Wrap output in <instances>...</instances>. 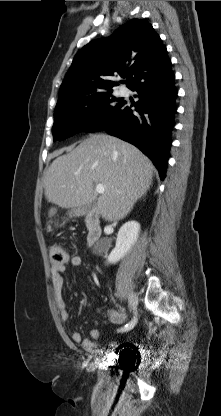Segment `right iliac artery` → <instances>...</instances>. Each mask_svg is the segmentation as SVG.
Returning <instances> with one entry per match:
<instances>
[{
  "label": "right iliac artery",
  "instance_id": "right-iliac-artery-1",
  "mask_svg": "<svg viewBox=\"0 0 221 416\" xmlns=\"http://www.w3.org/2000/svg\"><path fill=\"white\" fill-rule=\"evenodd\" d=\"M136 323H137V318L134 317L128 324L124 325L118 331L119 332H126L128 330H131L135 326Z\"/></svg>",
  "mask_w": 221,
  "mask_h": 416
}]
</instances>
